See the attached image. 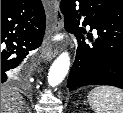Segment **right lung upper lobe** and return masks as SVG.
<instances>
[{
  "label": "right lung upper lobe",
  "mask_w": 123,
  "mask_h": 113,
  "mask_svg": "<svg viewBox=\"0 0 123 113\" xmlns=\"http://www.w3.org/2000/svg\"><path fill=\"white\" fill-rule=\"evenodd\" d=\"M16 0H1V8L7 7L14 3Z\"/></svg>",
  "instance_id": "1"
}]
</instances>
